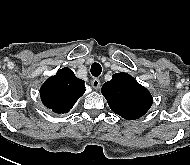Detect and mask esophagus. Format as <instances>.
Instances as JSON below:
<instances>
[{
	"instance_id": "34e87169",
	"label": "esophagus",
	"mask_w": 190,
	"mask_h": 165,
	"mask_svg": "<svg viewBox=\"0 0 190 165\" xmlns=\"http://www.w3.org/2000/svg\"><path fill=\"white\" fill-rule=\"evenodd\" d=\"M91 85L95 90H98L101 86L100 80L97 78L93 79Z\"/></svg>"
}]
</instances>
